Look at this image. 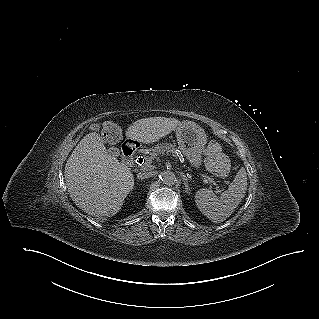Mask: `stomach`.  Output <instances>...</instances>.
<instances>
[{
  "label": "stomach",
  "mask_w": 319,
  "mask_h": 319,
  "mask_svg": "<svg viewBox=\"0 0 319 319\" xmlns=\"http://www.w3.org/2000/svg\"><path fill=\"white\" fill-rule=\"evenodd\" d=\"M180 150L192 167L202 165V151L207 142L205 131L193 122H184L176 130Z\"/></svg>",
  "instance_id": "1"
}]
</instances>
